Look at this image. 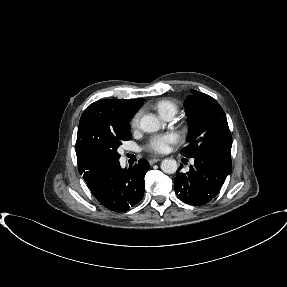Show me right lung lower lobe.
I'll use <instances>...</instances> for the list:
<instances>
[{
  "mask_svg": "<svg viewBox=\"0 0 287 287\" xmlns=\"http://www.w3.org/2000/svg\"><path fill=\"white\" fill-rule=\"evenodd\" d=\"M150 168L145 159H140L130 169H123L119 161L103 165L87 183L92 194L108 210L124 212L143 198L144 176Z\"/></svg>",
  "mask_w": 287,
  "mask_h": 287,
  "instance_id": "1",
  "label": "right lung lower lobe"
}]
</instances>
